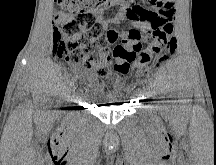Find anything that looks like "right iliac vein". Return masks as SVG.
<instances>
[{
	"label": "right iliac vein",
	"mask_w": 216,
	"mask_h": 165,
	"mask_svg": "<svg viewBox=\"0 0 216 165\" xmlns=\"http://www.w3.org/2000/svg\"><path fill=\"white\" fill-rule=\"evenodd\" d=\"M72 104L73 105L77 104V96L76 95H73Z\"/></svg>",
	"instance_id": "63e3f726"
}]
</instances>
